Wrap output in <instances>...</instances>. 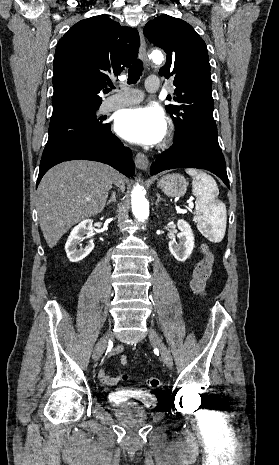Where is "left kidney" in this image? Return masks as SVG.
Wrapping results in <instances>:
<instances>
[{
  "label": "left kidney",
  "instance_id": "5707ae66",
  "mask_svg": "<svg viewBox=\"0 0 279 465\" xmlns=\"http://www.w3.org/2000/svg\"><path fill=\"white\" fill-rule=\"evenodd\" d=\"M178 229L180 233L177 234L176 238H173L169 242V250L176 260L183 262L192 253L194 248V235L191 226L185 220H178Z\"/></svg>",
  "mask_w": 279,
  "mask_h": 465
}]
</instances>
